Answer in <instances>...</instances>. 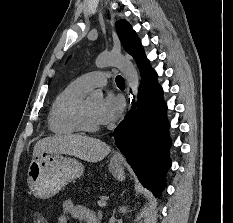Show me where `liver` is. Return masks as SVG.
<instances>
[{"instance_id": "obj_1", "label": "liver", "mask_w": 233, "mask_h": 223, "mask_svg": "<svg viewBox=\"0 0 233 223\" xmlns=\"http://www.w3.org/2000/svg\"><path fill=\"white\" fill-rule=\"evenodd\" d=\"M41 151L69 153V155H75V157H80L85 161L97 163L110 153L111 147L102 139H97V137L68 133V135H52V137L39 139L33 149V157L41 153Z\"/></svg>"}]
</instances>
